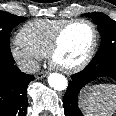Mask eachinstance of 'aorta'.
<instances>
[{
  "label": "aorta",
  "mask_w": 116,
  "mask_h": 116,
  "mask_svg": "<svg viewBox=\"0 0 116 116\" xmlns=\"http://www.w3.org/2000/svg\"><path fill=\"white\" fill-rule=\"evenodd\" d=\"M48 83L52 88L58 91L65 90L68 85L67 78L59 73H51L48 76Z\"/></svg>",
  "instance_id": "obj_1"
}]
</instances>
